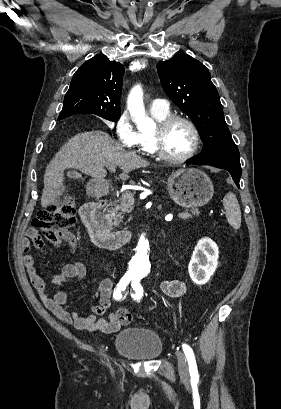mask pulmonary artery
Returning a JSON list of instances; mask_svg holds the SVG:
<instances>
[{
  "label": "pulmonary artery",
  "mask_w": 281,
  "mask_h": 409,
  "mask_svg": "<svg viewBox=\"0 0 281 409\" xmlns=\"http://www.w3.org/2000/svg\"><path fill=\"white\" fill-rule=\"evenodd\" d=\"M168 100L164 97H157L155 102H152V111L168 112Z\"/></svg>",
  "instance_id": "pulmonary-artery-1"
}]
</instances>
